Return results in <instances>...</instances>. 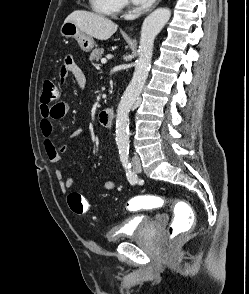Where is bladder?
<instances>
[{
    "label": "bladder",
    "mask_w": 249,
    "mask_h": 294,
    "mask_svg": "<svg viewBox=\"0 0 249 294\" xmlns=\"http://www.w3.org/2000/svg\"><path fill=\"white\" fill-rule=\"evenodd\" d=\"M154 223L155 217L151 215L131 217L125 221V228L121 232L109 230L106 233V241L112 244L122 240L141 238L150 231Z\"/></svg>",
    "instance_id": "bladder-1"
}]
</instances>
